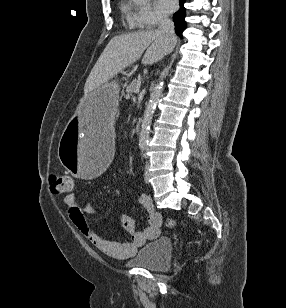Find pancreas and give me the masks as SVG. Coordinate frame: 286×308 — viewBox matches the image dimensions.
I'll return each instance as SVG.
<instances>
[{
  "label": "pancreas",
  "instance_id": "1",
  "mask_svg": "<svg viewBox=\"0 0 286 308\" xmlns=\"http://www.w3.org/2000/svg\"><path fill=\"white\" fill-rule=\"evenodd\" d=\"M140 85V81L139 80H133L127 87H126V93L128 95H132L133 93H135V88L136 86Z\"/></svg>",
  "mask_w": 286,
  "mask_h": 308
}]
</instances>
